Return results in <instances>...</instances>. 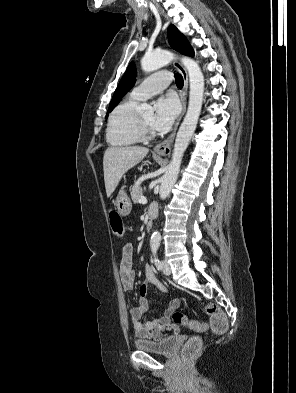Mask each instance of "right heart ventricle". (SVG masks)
Masks as SVG:
<instances>
[{
	"mask_svg": "<svg viewBox=\"0 0 296 393\" xmlns=\"http://www.w3.org/2000/svg\"><path fill=\"white\" fill-rule=\"evenodd\" d=\"M138 101L131 97L120 102L110 113L106 140L114 147H130L142 141L138 130Z\"/></svg>",
	"mask_w": 296,
	"mask_h": 393,
	"instance_id": "1",
	"label": "right heart ventricle"
}]
</instances>
